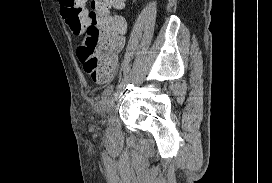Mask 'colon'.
<instances>
[{"mask_svg": "<svg viewBox=\"0 0 272 183\" xmlns=\"http://www.w3.org/2000/svg\"><path fill=\"white\" fill-rule=\"evenodd\" d=\"M71 31L81 35L78 57L86 72L100 80L108 78L116 68V53L123 46L126 22L114 14L125 0H58Z\"/></svg>", "mask_w": 272, "mask_h": 183, "instance_id": "obj_1", "label": "colon"}]
</instances>
